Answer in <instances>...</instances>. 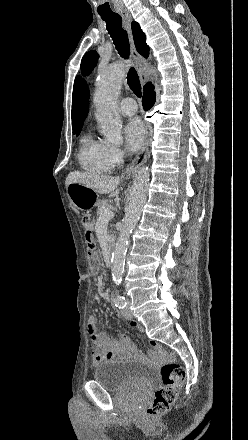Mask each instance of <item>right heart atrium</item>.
<instances>
[{
	"mask_svg": "<svg viewBox=\"0 0 248 440\" xmlns=\"http://www.w3.org/2000/svg\"><path fill=\"white\" fill-rule=\"evenodd\" d=\"M106 159L113 168L119 166L124 160V151L117 146H106Z\"/></svg>",
	"mask_w": 248,
	"mask_h": 440,
	"instance_id": "1",
	"label": "right heart atrium"
}]
</instances>
